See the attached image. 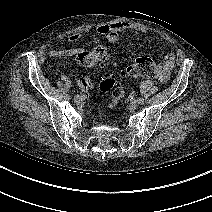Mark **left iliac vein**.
Listing matches in <instances>:
<instances>
[{
    "mask_svg": "<svg viewBox=\"0 0 212 212\" xmlns=\"http://www.w3.org/2000/svg\"><path fill=\"white\" fill-rule=\"evenodd\" d=\"M137 106H138V101H136V100H134V101H132V102L130 103V107H131L132 109L137 108Z\"/></svg>",
    "mask_w": 212,
    "mask_h": 212,
    "instance_id": "left-iliac-vein-1",
    "label": "left iliac vein"
}]
</instances>
